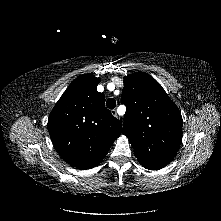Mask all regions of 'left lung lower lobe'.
Listing matches in <instances>:
<instances>
[{"mask_svg": "<svg viewBox=\"0 0 221 221\" xmlns=\"http://www.w3.org/2000/svg\"><path fill=\"white\" fill-rule=\"evenodd\" d=\"M142 166L145 167L146 169H149V170H158V169L163 168L161 166H153V165H147V164H142Z\"/></svg>", "mask_w": 221, "mask_h": 221, "instance_id": "0a47b994", "label": "left lung lower lobe"}]
</instances>
